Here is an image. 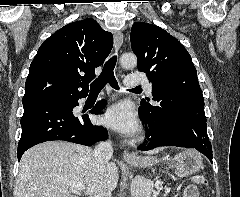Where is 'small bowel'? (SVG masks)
<instances>
[{
	"label": "small bowel",
	"instance_id": "small-bowel-1",
	"mask_svg": "<svg viewBox=\"0 0 240 197\" xmlns=\"http://www.w3.org/2000/svg\"><path fill=\"white\" fill-rule=\"evenodd\" d=\"M184 197H199L197 187L193 184L189 185L185 190Z\"/></svg>",
	"mask_w": 240,
	"mask_h": 197
}]
</instances>
